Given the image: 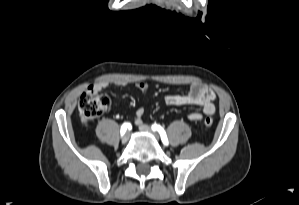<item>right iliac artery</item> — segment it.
Listing matches in <instances>:
<instances>
[{"mask_svg": "<svg viewBox=\"0 0 299 205\" xmlns=\"http://www.w3.org/2000/svg\"><path fill=\"white\" fill-rule=\"evenodd\" d=\"M130 128H131V124L130 123H124L121 126V130H120L121 136H123L125 134V132L127 131V129H130Z\"/></svg>", "mask_w": 299, "mask_h": 205, "instance_id": "1", "label": "right iliac artery"}]
</instances>
